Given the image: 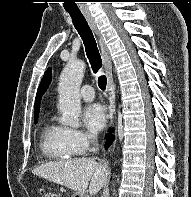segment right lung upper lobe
Wrapping results in <instances>:
<instances>
[{"label": "right lung upper lobe", "mask_w": 191, "mask_h": 197, "mask_svg": "<svg viewBox=\"0 0 191 197\" xmlns=\"http://www.w3.org/2000/svg\"><path fill=\"white\" fill-rule=\"evenodd\" d=\"M51 78H52L51 69L48 68L41 80V83L38 87L37 95L35 98V121H37V118H38L41 97L46 92V90L51 82Z\"/></svg>", "instance_id": "right-lung-upper-lobe-1"}]
</instances>
